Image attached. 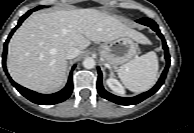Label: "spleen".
I'll use <instances>...</instances> for the list:
<instances>
[{"label":"spleen","mask_w":194,"mask_h":133,"mask_svg":"<svg viewBox=\"0 0 194 133\" xmlns=\"http://www.w3.org/2000/svg\"><path fill=\"white\" fill-rule=\"evenodd\" d=\"M159 65L155 52H148L122 65L117 70L124 86L132 92L149 90L156 82Z\"/></svg>","instance_id":"1"}]
</instances>
